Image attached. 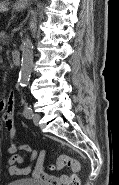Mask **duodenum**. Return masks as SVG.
<instances>
[{
  "mask_svg": "<svg viewBox=\"0 0 119 185\" xmlns=\"http://www.w3.org/2000/svg\"><path fill=\"white\" fill-rule=\"evenodd\" d=\"M12 60L15 66H20L21 64V54L19 51H13Z\"/></svg>",
  "mask_w": 119,
  "mask_h": 185,
  "instance_id": "1",
  "label": "duodenum"
}]
</instances>
